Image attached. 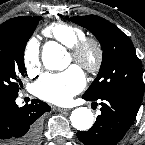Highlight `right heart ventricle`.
I'll return each mask as SVG.
<instances>
[{
    "label": "right heart ventricle",
    "mask_w": 145,
    "mask_h": 145,
    "mask_svg": "<svg viewBox=\"0 0 145 145\" xmlns=\"http://www.w3.org/2000/svg\"><path fill=\"white\" fill-rule=\"evenodd\" d=\"M43 34L69 48L80 38L85 36L82 28L64 22L51 23L43 29Z\"/></svg>",
    "instance_id": "1"
}]
</instances>
